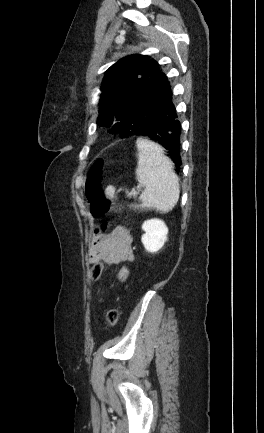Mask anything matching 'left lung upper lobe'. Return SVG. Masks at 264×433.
Returning <instances> with one entry per match:
<instances>
[{"label": "left lung upper lobe", "instance_id": "left-lung-upper-lobe-1", "mask_svg": "<svg viewBox=\"0 0 264 433\" xmlns=\"http://www.w3.org/2000/svg\"><path fill=\"white\" fill-rule=\"evenodd\" d=\"M158 63L140 54L127 56L105 73L101 86V99L97 123L112 126L110 133L128 137L120 125L122 117L139 95L160 75Z\"/></svg>", "mask_w": 264, "mask_h": 433}]
</instances>
